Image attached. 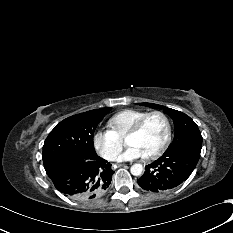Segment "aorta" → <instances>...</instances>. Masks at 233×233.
<instances>
[{
    "label": "aorta",
    "mask_w": 233,
    "mask_h": 233,
    "mask_svg": "<svg viewBox=\"0 0 233 233\" xmlns=\"http://www.w3.org/2000/svg\"><path fill=\"white\" fill-rule=\"evenodd\" d=\"M131 174L134 176H139L142 174L143 166L141 164H134L130 168Z\"/></svg>",
    "instance_id": "obj_1"
}]
</instances>
